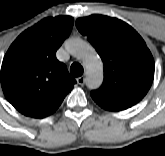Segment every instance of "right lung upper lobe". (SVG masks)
I'll use <instances>...</instances> for the list:
<instances>
[{
  "mask_svg": "<svg viewBox=\"0 0 165 156\" xmlns=\"http://www.w3.org/2000/svg\"><path fill=\"white\" fill-rule=\"evenodd\" d=\"M74 19L47 17L12 43L1 67V85L7 100L22 114L44 118L54 113L76 81L56 58Z\"/></svg>",
  "mask_w": 165,
  "mask_h": 156,
  "instance_id": "1",
  "label": "right lung upper lobe"
}]
</instances>
